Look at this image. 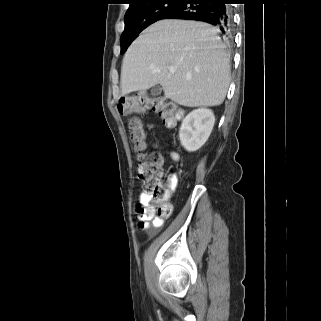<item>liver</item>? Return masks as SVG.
I'll list each match as a JSON object with an SVG mask.
<instances>
[{
    "mask_svg": "<svg viewBox=\"0 0 321 321\" xmlns=\"http://www.w3.org/2000/svg\"><path fill=\"white\" fill-rule=\"evenodd\" d=\"M217 33L216 28L195 21L166 19L152 24L125 53L122 96L160 84L165 96L182 106L222 104L230 65Z\"/></svg>",
    "mask_w": 321,
    "mask_h": 321,
    "instance_id": "6515ba94",
    "label": "liver"
}]
</instances>
